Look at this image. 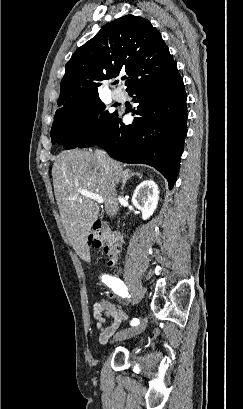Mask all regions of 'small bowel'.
Segmentation results:
<instances>
[{"mask_svg": "<svg viewBox=\"0 0 243 409\" xmlns=\"http://www.w3.org/2000/svg\"><path fill=\"white\" fill-rule=\"evenodd\" d=\"M93 316L97 320V329L99 330V341L101 344H107L121 323L128 318L126 312L109 302L106 299H99L93 306ZM106 319L110 320V324L104 325Z\"/></svg>", "mask_w": 243, "mask_h": 409, "instance_id": "1", "label": "small bowel"}]
</instances>
